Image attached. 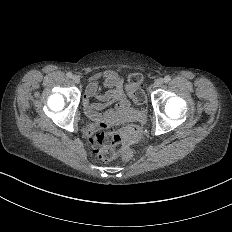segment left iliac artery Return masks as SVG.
Masks as SVG:
<instances>
[{
	"mask_svg": "<svg viewBox=\"0 0 232 232\" xmlns=\"http://www.w3.org/2000/svg\"><path fill=\"white\" fill-rule=\"evenodd\" d=\"M170 81H171V77L169 75H167V76L164 77V82L165 83H168Z\"/></svg>",
	"mask_w": 232,
	"mask_h": 232,
	"instance_id": "44dca946",
	"label": "left iliac artery"
}]
</instances>
